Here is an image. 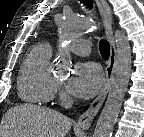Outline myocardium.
I'll use <instances>...</instances> for the list:
<instances>
[{
  "mask_svg": "<svg viewBox=\"0 0 144 137\" xmlns=\"http://www.w3.org/2000/svg\"><path fill=\"white\" fill-rule=\"evenodd\" d=\"M55 81H56V83H57V84H59V83H60V80H58V79H55Z\"/></svg>",
  "mask_w": 144,
  "mask_h": 137,
  "instance_id": "obj_1",
  "label": "myocardium"
}]
</instances>
